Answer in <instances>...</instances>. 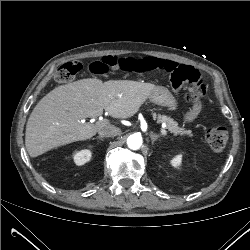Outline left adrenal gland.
<instances>
[{"label": "left adrenal gland", "mask_w": 250, "mask_h": 250, "mask_svg": "<svg viewBox=\"0 0 250 250\" xmlns=\"http://www.w3.org/2000/svg\"><path fill=\"white\" fill-rule=\"evenodd\" d=\"M162 135H157V134H154L153 132L150 133V137H151V140H152V144L155 143V141H157Z\"/></svg>", "instance_id": "1"}]
</instances>
